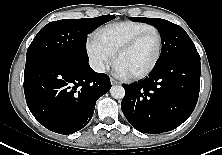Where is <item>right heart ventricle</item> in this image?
<instances>
[{
    "label": "right heart ventricle",
    "mask_w": 222,
    "mask_h": 155,
    "mask_svg": "<svg viewBox=\"0 0 222 155\" xmlns=\"http://www.w3.org/2000/svg\"><path fill=\"white\" fill-rule=\"evenodd\" d=\"M155 28L153 25L139 21H122L103 27L98 35L115 53L120 46L139 33Z\"/></svg>",
    "instance_id": "e07e8e85"
}]
</instances>
